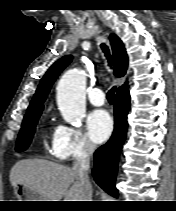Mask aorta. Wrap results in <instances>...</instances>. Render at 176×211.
<instances>
[{
  "label": "aorta",
  "mask_w": 176,
  "mask_h": 211,
  "mask_svg": "<svg viewBox=\"0 0 176 211\" xmlns=\"http://www.w3.org/2000/svg\"><path fill=\"white\" fill-rule=\"evenodd\" d=\"M86 75L72 69L60 79L57 87V105L63 119L75 127H80L85 114Z\"/></svg>",
  "instance_id": "aorta-1"
}]
</instances>
